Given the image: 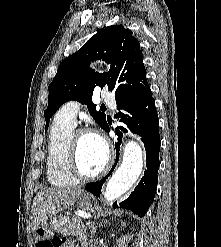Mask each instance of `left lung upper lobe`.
I'll return each mask as SVG.
<instances>
[{"mask_svg": "<svg viewBox=\"0 0 221 247\" xmlns=\"http://www.w3.org/2000/svg\"><path fill=\"white\" fill-rule=\"evenodd\" d=\"M98 59L110 64L108 73H98L88 67L91 61ZM96 86H107L114 91L118 103L151 92L140 44L123 25H112L99 31L60 64L49 85L48 107L44 111L45 131L52 115L70 100L86 104L94 120L104 129L108 118L103 112L96 111L92 102Z\"/></svg>", "mask_w": 221, "mask_h": 247, "instance_id": "left-lung-upper-lobe-1", "label": "left lung upper lobe"}]
</instances>
